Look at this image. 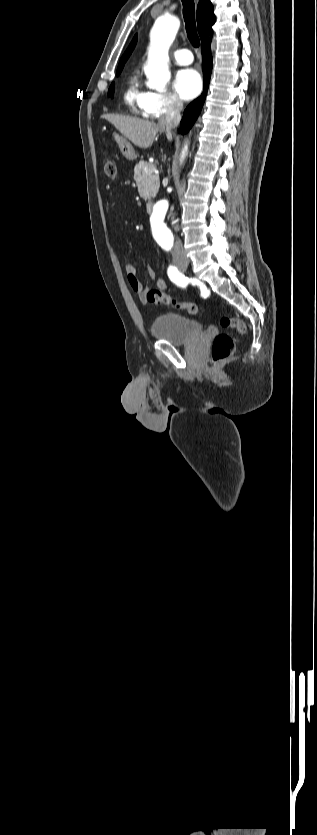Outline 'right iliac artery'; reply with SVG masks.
<instances>
[{"label": "right iliac artery", "mask_w": 317, "mask_h": 835, "mask_svg": "<svg viewBox=\"0 0 317 835\" xmlns=\"http://www.w3.org/2000/svg\"><path fill=\"white\" fill-rule=\"evenodd\" d=\"M167 273L173 283L183 288L186 287L187 278L175 266L170 265Z\"/></svg>", "instance_id": "right-iliac-artery-1"}]
</instances>
